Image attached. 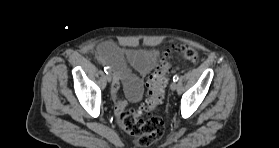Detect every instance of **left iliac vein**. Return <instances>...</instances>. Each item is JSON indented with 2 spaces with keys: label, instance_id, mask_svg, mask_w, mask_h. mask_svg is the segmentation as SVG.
Here are the masks:
<instances>
[{
  "label": "left iliac vein",
  "instance_id": "left-iliac-vein-1",
  "mask_svg": "<svg viewBox=\"0 0 279 148\" xmlns=\"http://www.w3.org/2000/svg\"><path fill=\"white\" fill-rule=\"evenodd\" d=\"M176 88H177L176 82H172V83L170 84V89H171L172 91H175Z\"/></svg>",
  "mask_w": 279,
  "mask_h": 148
}]
</instances>
